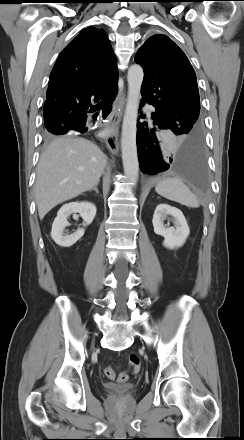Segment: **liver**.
<instances>
[{"instance_id": "obj_1", "label": "liver", "mask_w": 244, "mask_h": 440, "mask_svg": "<svg viewBox=\"0 0 244 440\" xmlns=\"http://www.w3.org/2000/svg\"><path fill=\"white\" fill-rule=\"evenodd\" d=\"M107 157L89 140L73 136L55 138L37 165L35 201L39 218L56 205L91 190L100 181Z\"/></svg>"}]
</instances>
